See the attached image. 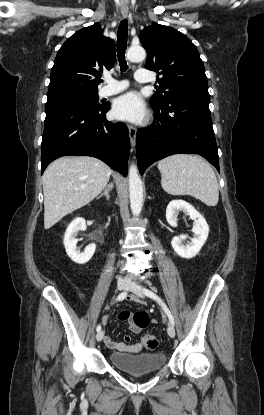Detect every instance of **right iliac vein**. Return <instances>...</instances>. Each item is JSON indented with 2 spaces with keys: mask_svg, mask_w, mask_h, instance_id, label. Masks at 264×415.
<instances>
[{
  "mask_svg": "<svg viewBox=\"0 0 264 415\" xmlns=\"http://www.w3.org/2000/svg\"><path fill=\"white\" fill-rule=\"evenodd\" d=\"M128 286H129V282L127 280H124V279L119 280L118 283H117V288L119 290H124ZM103 337H104V331L100 330L96 335V339H97V341H101L103 339Z\"/></svg>",
  "mask_w": 264,
  "mask_h": 415,
  "instance_id": "1",
  "label": "right iliac vein"
}]
</instances>
